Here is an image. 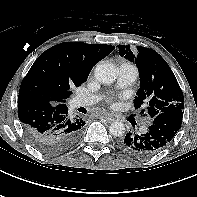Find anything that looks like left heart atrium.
Wrapping results in <instances>:
<instances>
[{
	"mask_svg": "<svg viewBox=\"0 0 197 197\" xmlns=\"http://www.w3.org/2000/svg\"><path fill=\"white\" fill-rule=\"evenodd\" d=\"M108 101L111 103V105H115V102H114V99L113 98H109Z\"/></svg>",
	"mask_w": 197,
	"mask_h": 197,
	"instance_id": "obj_1",
	"label": "left heart atrium"
}]
</instances>
